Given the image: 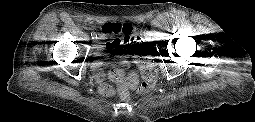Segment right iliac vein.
<instances>
[{
	"mask_svg": "<svg viewBox=\"0 0 255 122\" xmlns=\"http://www.w3.org/2000/svg\"><path fill=\"white\" fill-rule=\"evenodd\" d=\"M98 39H99L98 37H95V38H94V41H97Z\"/></svg>",
	"mask_w": 255,
	"mask_h": 122,
	"instance_id": "1",
	"label": "right iliac vein"
}]
</instances>
